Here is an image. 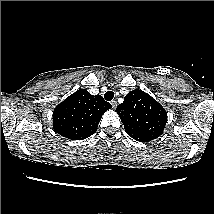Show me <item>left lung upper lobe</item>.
Masks as SVG:
<instances>
[{
  "instance_id": "1",
  "label": "left lung upper lobe",
  "mask_w": 214,
  "mask_h": 214,
  "mask_svg": "<svg viewBox=\"0 0 214 214\" xmlns=\"http://www.w3.org/2000/svg\"><path fill=\"white\" fill-rule=\"evenodd\" d=\"M126 133L139 142L159 137L167 123L165 109L149 94L136 89L129 92L116 108Z\"/></svg>"
}]
</instances>
